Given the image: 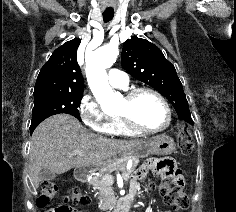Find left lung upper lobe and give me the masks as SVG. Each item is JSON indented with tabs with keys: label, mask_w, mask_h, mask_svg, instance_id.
<instances>
[{
	"label": "left lung upper lobe",
	"mask_w": 236,
	"mask_h": 212,
	"mask_svg": "<svg viewBox=\"0 0 236 212\" xmlns=\"http://www.w3.org/2000/svg\"><path fill=\"white\" fill-rule=\"evenodd\" d=\"M121 62L127 73L167 97L179 118H191L175 67L156 45L134 36L124 42Z\"/></svg>",
	"instance_id": "1"
}]
</instances>
